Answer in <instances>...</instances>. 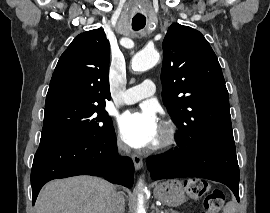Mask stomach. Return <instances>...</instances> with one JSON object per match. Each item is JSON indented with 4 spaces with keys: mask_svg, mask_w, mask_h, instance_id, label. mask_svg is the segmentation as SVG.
<instances>
[{
    "mask_svg": "<svg viewBox=\"0 0 270 213\" xmlns=\"http://www.w3.org/2000/svg\"><path fill=\"white\" fill-rule=\"evenodd\" d=\"M154 196L170 207L179 206L186 199L182 183L177 179H170L156 184Z\"/></svg>",
    "mask_w": 270,
    "mask_h": 213,
    "instance_id": "1",
    "label": "stomach"
}]
</instances>
